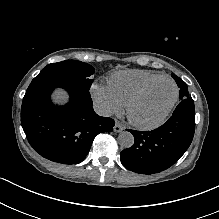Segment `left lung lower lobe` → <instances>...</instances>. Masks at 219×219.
I'll list each match as a JSON object with an SVG mask.
<instances>
[{"instance_id": "obj_1", "label": "left lung lower lobe", "mask_w": 219, "mask_h": 219, "mask_svg": "<svg viewBox=\"0 0 219 219\" xmlns=\"http://www.w3.org/2000/svg\"><path fill=\"white\" fill-rule=\"evenodd\" d=\"M195 130L193 100H181L173 115L151 131H130L135 143L121 152L122 164L140 174H154L176 163L190 146Z\"/></svg>"}]
</instances>
